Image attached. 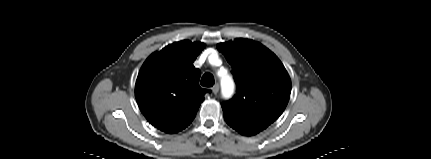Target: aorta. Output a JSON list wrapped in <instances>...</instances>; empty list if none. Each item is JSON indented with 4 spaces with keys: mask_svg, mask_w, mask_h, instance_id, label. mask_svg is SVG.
I'll use <instances>...</instances> for the list:
<instances>
[{
    "mask_svg": "<svg viewBox=\"0 0 431 159\" xmlns=\"http://www.w3.org/2000/svg\"><path fill=\"white\" fill-rule=\"evenodd\" d=\"M223 95L228 97L233 92V82L230 78H224L221 81Z\"/></svg>",
    "mask_w": 431,
    "mask_h": 159,
    "instance_id": "aorta-1",
    "label": "aorta"
}]
</instances>
